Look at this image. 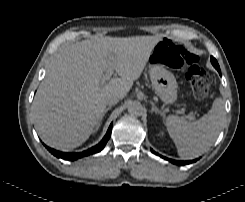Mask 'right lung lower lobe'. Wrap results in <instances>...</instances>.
<instances>
[{
	"instance_id": "1",
	"label": "right lung lower lobe",
	"mask_w": 245,
	"mask_h": 202,
	"mask_svg": "<svg viewBox=\"0 0 245 202\" xmlns=\"http://www.w3.org/2000/svg\"><path fill=\"white\" fill-rule=\"evenodd\" d=\"M111 130H112V123L109 126V129H108L106 135L104 136V138L101 140V142L98 145H96V146H94V147H92L86 151L80 152V153H64V152L56 151V150L49 148V147H47V149L53 155H55L58 158L74 161V160L79 159L81 157H84V156L94 154V153L101 151L105 147L107 141L109 140V138L111 136Z\"/></svg>"
}]
</instances>
